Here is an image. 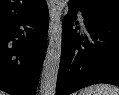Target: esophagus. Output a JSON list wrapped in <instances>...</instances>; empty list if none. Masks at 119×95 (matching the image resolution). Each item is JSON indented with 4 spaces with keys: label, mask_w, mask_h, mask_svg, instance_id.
<instances>
[{
    "label": "esophagus",
    "mask_w": 119,
    "mask_h": 95,
    "mask_svg": "<svg viewBox=\"0 0 119 95\" xmlns=\"http://www.w3.org/2000/svg\"><path fill=\"white\" fill-rule=\"evenodd\" d=\"M47 4L49 9V16H50L49 31H48V37L50 38L53 34L55 24L58 20V12L54 0H47Z\"/></svg>",
    "instance_id": "esophagus-1"
}]
</instances>
